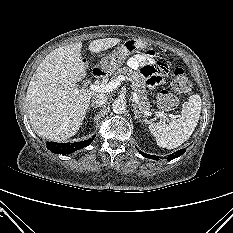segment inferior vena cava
<instances>
[{"label":"inferior vena cava","instance_id":"602c4592","mask_svg":"<svg viewBox=\"0 0 233 233\" xmlns=\"http://www.w3.org/2000/svg\"><path fill=\"white\" fill-rule=\"evenodd\" d=\"M106 101H107V96L103 93L96 94L92 97V103L98 106L105 104Z\"/></svg>","mask_w":233,"mask_h":233}]
</instances>
